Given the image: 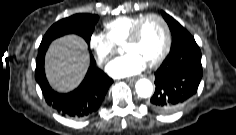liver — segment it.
I'll return each instance as SVG.
<instances>
[{
  "label": "liver",
  "instance_id": "1",
  "mask_svg": "<svg viewBox=\"0 0 236 135\" xmlns=\"http://www.w3.org/2000/svg\"><path fill=\"white\" fill-rule=\"evenodd\" d=\"M88 66L87 44L77 35L54 40L46 54V76L58 92H69L77 87Z\"/></svg>",
  "mask_w": 236,
  "mask_h": 135
}]
</instances>
